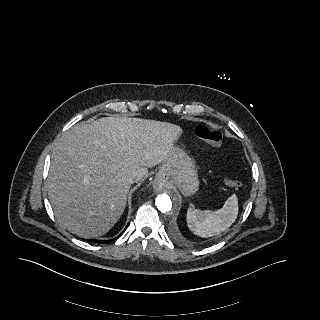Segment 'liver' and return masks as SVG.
<instances>
[{"mask_svg": "<svg viewBox=\"0 0 320 320\" xmlns=\"http://www.w3.org/2000/svg\"><path fill=\"white\" fill-rule=\"evenodd\" d=\"M182 135L174 124L103 117L68 130L52 154L48 195L58 222L82 238L106 234L124 212L128 178L140 181Z\"/></svg>", "mask_w": 320, "mask_h": 320, "instance_id": "1", "label": "liver"}]
</instances>
